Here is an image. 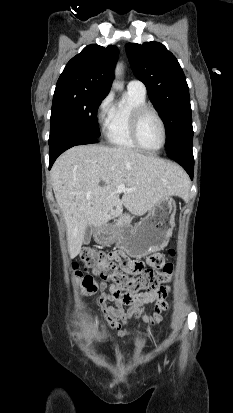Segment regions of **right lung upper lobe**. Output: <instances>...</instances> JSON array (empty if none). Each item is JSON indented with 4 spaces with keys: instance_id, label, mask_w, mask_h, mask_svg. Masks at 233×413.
Segmentation results:
<instances>
[{
    "instance_id": "1",
    "label": "right lung upper lobe",
    "mask_w": 233,
    "mask_h": 413,
    "mask_svg": "<svg viewBox=\"0 0 233 413\" xmlns=\"http://www.w3.org/2000/svg\"><path fill=\"white\" fill-rule=\"evenodd\" d=\"M114 45L106 48L91 44L73 57L60 75L56 88H77L108 94L111 86L112 68L118 58Z\"/></svg>"
}]
</instances>
